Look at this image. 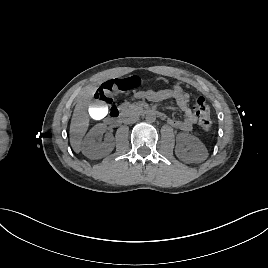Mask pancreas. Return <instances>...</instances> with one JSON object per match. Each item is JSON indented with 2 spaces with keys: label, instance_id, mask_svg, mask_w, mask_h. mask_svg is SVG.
<instances>
[{
  "label": "pancreas",
  "instance_id": "1",
  "mask_svg": "<svg viewBox=\"0 0 268 268\" xmlns=\"http://www.w3.org/2000/svg\"><path fill=\"white\" fill-rule=\"evenodd\" d=\"M133 106H134V105L131 104V103H129V102H125V103H123V105H122V107L125 108V109H127V108H131V107H133Z\"/></svg>",
  "mask_w": 268,
  "mask_h": 268
}]
</instances>
